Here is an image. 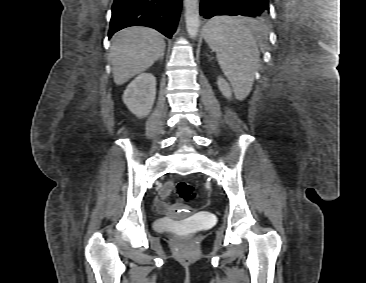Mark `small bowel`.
Wrapping results in <instances>:
<instances>
[{
	"instance_id": "obj_1",
	"label": "small bowel",
	"mask_w": 366,
	"mask_h": 283,
	"mask_svg": "<svg viewBox=\"0 0 366 283\" xmlns=\"http://www.w3.org/2000/svg\"><path fill=\"white\" fill-rule=\"evenodd\" d=\"M173 188V183L172 182H167L163 188L161 189V197H162V200H159L157 202V207L158 209L160 210H166L168 208V203L166 201V198L169 196L171 190Z\"/></svg>"
}]
</instances>
